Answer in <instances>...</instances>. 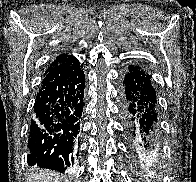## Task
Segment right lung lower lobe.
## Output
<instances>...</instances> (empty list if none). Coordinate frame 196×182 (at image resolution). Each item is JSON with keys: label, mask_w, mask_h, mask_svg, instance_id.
Here are the masks:
<instances>
[{"label": "right lung lower lobe", "mask_w": 196, "mask_h": 182, "mask_svg": "<svg viewBox=\"0 0 196 182\" xmlns=\"http://www.w3.org/2000/svg\"><path fill=\"white\" fill-rule=\"evenodd\" d=\"M81 68L72 56L45 74L30 123L28 165L60 172L73 165L84 106Z\"/></svg>", "instance_id": "obj_1"}]
</instances>
